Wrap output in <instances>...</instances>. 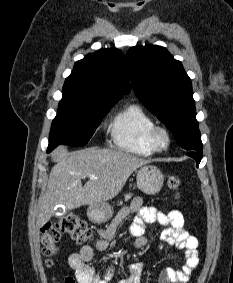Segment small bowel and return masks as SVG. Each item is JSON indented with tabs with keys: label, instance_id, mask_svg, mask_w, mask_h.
<instances>
[{
	"label": "small bowel",
	"instance_id": "1",
	"mask_svg": "<svg viewBox=\"0 0 233 283\" xmlns=\"http://www.w3.org/2000/svg\"><path fill=\"white\" fill-rule=\"evenodd\" d=\"M137 214L129 227L130 235L135 239L134 247L141 249L147 244L145 237L146 224L157 222L164 230L160 239L169 245L185 252L181 269L165 268L159 276V283H186L199 263L198 239L185 229L184 216L179 210H158L155 207H143V199L136 197L129 207L124 208L113 223L105 230H99L100 239L96 242L98 251H106L111 247L119 223ZM95 262L93 248L85 245L78 252L69 256V266L74 270L77 283H109L113 269L108 268L101 277L91 265ZM142 265H129V274L118 283H141Z\"/></svg>",
	"mask_w": 233,
	"mask_h": 283
}]
</instances>
